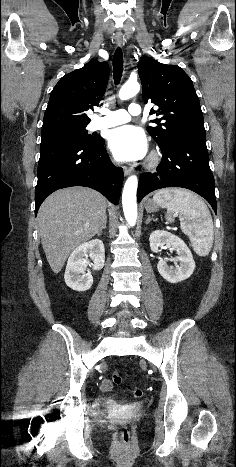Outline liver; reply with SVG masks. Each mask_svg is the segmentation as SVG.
<instances>
[{
    "instance_id": "obj_1",
    "label": "liver",
    "mask_w": 236,
    "mask_h": 467,
    "mask_svg": "<svg viewBox=\"0 0 236 467\" xmlns=\"http://www.w3.org/2000/svg\"><path fill=\"white\" fill-rule=\"evenodd\" d=\"M107 201L99 192L69 187L52 193L41 205L38 230L47 261L59 273L70 253L86 243L106 218Z\"/></svg>"
}]
</instances>
